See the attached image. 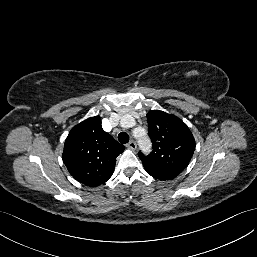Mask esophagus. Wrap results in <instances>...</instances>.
<instances>
[{"label":"esophagus","mask_w":257,"mask_h":257,"mask_svg":"<svg viewBox=\"0 0 257 257\" xmlns=\"http://www.w3.org/2000/svg\"><path fill=\"white\" fill-rule=\"evenodd\" d=\"M126 147H127L128 149L135 150V149L137 148V144H136L135 141L131 140V141L126 145Z\"/></svg>","instance_id":"1"}]
</instances>
